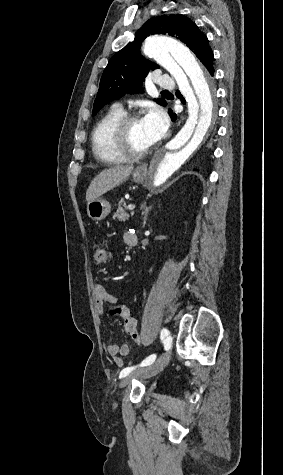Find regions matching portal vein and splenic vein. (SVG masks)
Instances as JSON below:
<instances>
[{
  "mask_svg": "<svg viewBox=\"0 0 283 475\" xmlns=\"http://www.w3.org/2000/svg\"><path fill=\"white\" fill-rule=\"evenodd\" d=\"M128 210H134L135 206H133V204H129V206H127Z\"/></svg>",
  "mask_w": 283,
  "mask_h": 475,
  "instance_id": "18ae733b",
  "label": "portal vein and splenic vein"
}]
</instances>
